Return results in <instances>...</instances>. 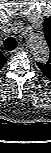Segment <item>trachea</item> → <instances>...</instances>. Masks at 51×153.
Listing matches in <instances>:
<instances>
[{"instance_id":"trachea-1","label":"trachea","mask_w":51,"mask_h":153,"mask_svg":"<svg viewBox=\"0 0 51 153\" xmlns=\"http://www.w3.org/2000/svg\"><path fill=\"white\" fill-rule=\"evenodd\" d=\"M4 47L7 51H12L17 47V41L13 37H8L4 42Z\"/></svg>"}]
</instances>
